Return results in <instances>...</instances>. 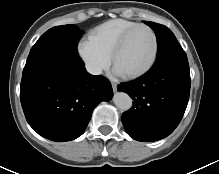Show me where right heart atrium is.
I'll use <instances>...</instances> for the list:
<instances>
[{"label":"right heart atrium","instance_id":"d8ad5b80","mask_svg":"<svg viewBox=\"0 0 219 174\" xmlns=\"http://www.w3.org/2000/svg\"><path fill=\"white\" fill-rule=\"evenodd\" d=\"M78 54L88 71L95 75L100 74L111 62L110 56L89 38L79 42Z\"/></svg>","mask_w":219,"mask_h":174}]
</instances>
